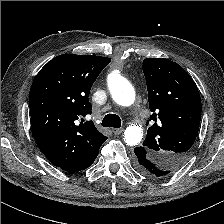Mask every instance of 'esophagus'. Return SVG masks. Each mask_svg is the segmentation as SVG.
<instances>
[{"label": "esophagus", "mask_w": 224, "mask_h": 224, "mask_svg": "<svg viewBox=\"0 0 224 224\" xmlns=\"http://www.w3.org/2000/svg\"><path fill=\"white\" fill-rule=\"evenodd\" d=\"M112 131L115 135H119L123 132V128H115Z\"/></svg>", "instance_id": "obj_1"}]
</instances>
